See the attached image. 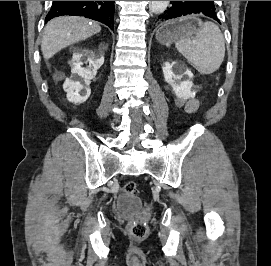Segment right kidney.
<instances>
[{"label":"right kidney","instance_id":"1","mask_svg":"<svg viewBox=\"0 0 271 266\" xmlns=\"http://www.w3.org/2000/svg\"><path fill=\"white\" fill-rule=\"evenodd\" d=\"M84 57H87L89 62L88 68H83V62L81 61ZM104 63L103 56H97L91 51L86 53H73L72 58V75L70 78H66L63 89L67 92V100L74 104L84 103L90 96L91 90L89 84L91 79L97 74V70Z\"/></svg>","mask_w":271,"mask_h":266}]
</instances>
